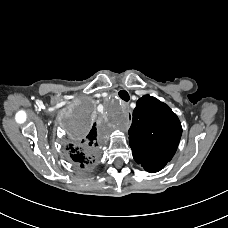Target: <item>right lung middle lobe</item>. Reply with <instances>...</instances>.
<instances>
[{"instance_id":"dd1d6c3e","label":"right lung middle lobe","mask_w":228,"mask_h":228,"mask_svg":"<svg viewBox=\"0 0 228 228\" xmlns=\"http://www.w3.org/2000/svg\"><path fill=\"white\" fill-rule=\"evenodd\" d=\"M78 117L80 118V128L72 131V137L74 139L80 140L91 128L94 117L92 112L87 109L86 104H81L78 112ZM95 123L93 124L92 129H94Z\"/></svg>"}]
</instances>
